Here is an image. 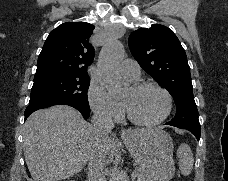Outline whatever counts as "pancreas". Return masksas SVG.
Masks as SVG:
<instances>
[{"instance_id":"cf45deb5","label":"pancreas","mask_w":228,"mask_h":181,"mask_svg":"<svg viewBox=\"0 0 228 181\" xmlns=\"http://www.w3.org/2000/svg\"><path fill=\"white\" fill-rule=\"evenodd\" d=\"M145 173H146L145 169H138L137 175L139 177V181H143V177H144Z\"/></svg>"}]
</instances>
